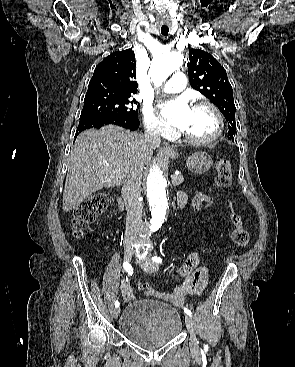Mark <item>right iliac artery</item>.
I'll use <instances>...</instances> for the list:
<instances>
[{"label": "right iliac artery", "mask_w": 295, "mask_h": 367, "mask_svg": "<svg viewBox=\"0 0 295 367\" xmlns=\"http://www.w3.org/2000/svg\"><path fill=\"white\" fill-rule=\"evenodd\" d=\"M123 266H124V269L126 270V272L128 273V275L132 276L133 269H132L131 265L129 264V262H124ZM115 307H119V301L118 300L115 301Z\"/></svg>", "instance_id": "obj_1"}]
</instances>
